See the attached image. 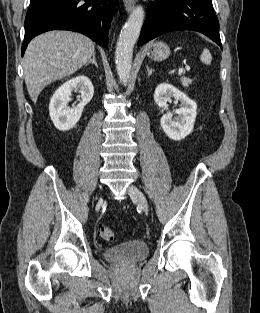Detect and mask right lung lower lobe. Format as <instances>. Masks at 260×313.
Returning <instances> with one entry per match:
<instances>
[{"mask_svg": "<svg viewBox=\"0 0 260 313\" xmlns=\"http://www.w3.org/2000/svg\"><path fill=\"white\" fill-rule=\"evenodd\" d=\"M25 18L22 56L35 36L50 30L80 32L107 47L117 0H30Z\"/></svg>", "mask_w": 260, "mask_h": 313, "instance_id": "98d812e1", "label": "right lung lower lobe"}]
</instances>
